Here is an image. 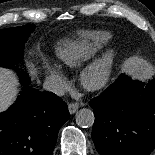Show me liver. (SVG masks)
<instances>
[{"label":"liver","instance_id":"1","mask_svg":"<svg viewBox=\"0 0 155 155\" xmlns=\"http://www.w3.org/2000/svg\"><path fill=\"white\" fill-rule=\"evenodd\" d=\"M30 74L35 75L36 70L32 64L28 65ZM18 92V83L13 74L5 69H0V112L6 110Z\"/></svg>","mask_w":155,"mask_h":155}]
</instances>
